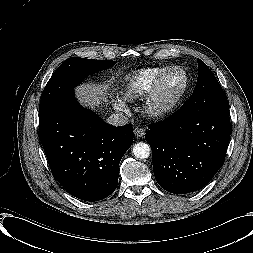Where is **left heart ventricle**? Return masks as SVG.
<instances>
[{
  "label": "left heart ventricle",
  "instance_id": "b2bd125f",
  "mask_svg": "<svg viewBox=\"0 0 253 253\" xmlns=\"http://www.w3.org/2000/svg\"><path fill=\"white\" fill-rule=\"evenodd\" d=\"M183 85V74L178 70L170 72L160 86L158 101L162 104L169 103L181 91Z\"/></svg>",
  "mask_w": 253,
  "mask_h": 253
}]
</instances>
